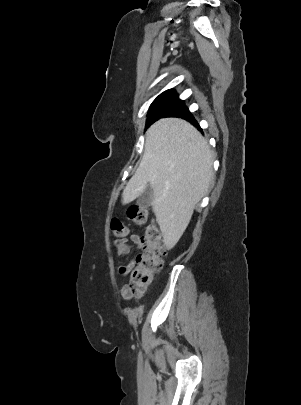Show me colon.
Returning a JSON list of instances; mask_svg holds the SVG:
<instances>
[{"label": "colon", "instance_id": "1", "mask_svg": "<svg viewBox=\"0 0 301 405\" xmlns=\"http://www.w3.org/2000/svg\"><path fill=\"white\" fill-rule=\"evenodd\" d=\"M128 220L134 225H144L148 219V211L140 206H132L127 212ZM111 231L116 237L128 235V228L118 219L111 222ZM166 253L161 232L155 222L149 223L141 237V249L135 259V266L130 273L127 285L132 296L142 295L154 276L163 266V257Z\"/></svg>", "mask_w": 301, "mask_h": 405}]
</instances>
